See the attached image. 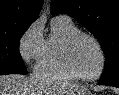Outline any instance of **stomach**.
I'll use <instances>...</instances> for the list:
<instances>
[{"instance_id":"1","label":"stomach","mask_w":119,"mask_h":95,"mask_svg":"<svg viewBox=\"0 0 119 95\" xmlns=\"http://www.w3.org/2000/svg\"><path fill=\"white\" fill-rule=\"evenodd\" d=\"M66 95H92V93L90 91H88L86 88L79 87V88H76V89L70 91Z\"/></svg>"}]
</instances>
